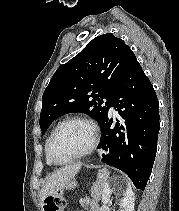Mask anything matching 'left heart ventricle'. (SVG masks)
Segmentation results:
<instances>
[{
  "label": "left heart ventricle",
  "instance_id": "b2bd125f",
  "mask_svg": "<svg viewBox=\"0 0 179 211\" xmlns=\"http://www.w3.org/2000/svg\"><path fill=\"white\" fill-rule=\"evenodd\" d=\"M90 142V128L82 122H71L57 133L52 144V153L59 161L69 160L84 151Z\"/></svg>",
  "mask_w": 179,
  "mask_h": 211
}]
</instances>
